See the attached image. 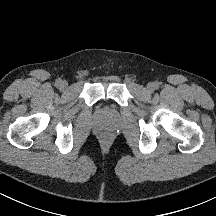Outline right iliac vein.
I'll return each instance as SVG.
<instances>
[{"label": "right iliac vein", "instance_id": "right-iliac-vein-1", "mask_svg": "<svg viewBox=\"0 0 216 216\" xmlns=\"http://www.w3.org/2000/svg\"><path fill=\"white\" fill-rule=\"evenodd\" d=\"M67 86H68V82L65 80L61 81L59 85L60 89H65Z\"/></svg>", "mask_w": 216, "mask_h": 216}]
</instances>
